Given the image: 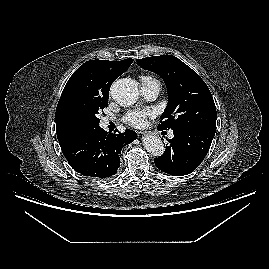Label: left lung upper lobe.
I'll use <instances>...</instances> for the list:
<instances>
[{
	"instance_id": "left-lung-upper-lobe-1",
	"label": "left lung upper lobe",
	"mask_w": 269,
	"mask_h": 269,
	"mask_svg": "<svg viewBox=\"0 0 269 269\" xmlns=\"http://www.w3.org/2000/svg\"><path fill=\"white\" fill-rule=\"evenodd\" d=\"M137 64L164 80L169 100L161 115L160 130H216V107L205 82L189 66L172 55L137 59Z\"/></svg>"
}]
</instances>
